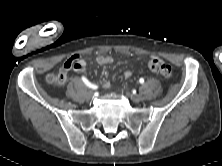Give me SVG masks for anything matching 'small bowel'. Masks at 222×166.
Wrapping results in <instances>:
<instances>
[{
  "mask_svg": "<svg viewBox=\"0 0 222 166\" xmlns=\"http://www.w3.org/2000/svg\"><path fill=\"white\" fill-rule=\"evenodd\" d=\"M95 61L98 65L105 66V65L111 64L114 61V59L111 56H108V55H98L95 58ZM86 67H87V64L81 56L72 55L68 59H66V61L63 64V67H62L61 71L67 73L68 71L73 69L76 72L82 73L86 70ZM131 76H132V71L131 70H126L123 74V77L125 79H128ZM103 87L105 89L109 88L110 87V82L109 81L105 82L103 84Z\"/></svg>",
  "mask_w": 222,
  "mask_h": 166,
  "instance_id": "small-bowel-1",
  "label": "small bowel"
}]
</instances>
